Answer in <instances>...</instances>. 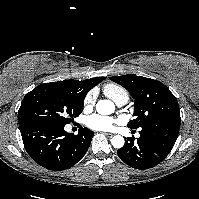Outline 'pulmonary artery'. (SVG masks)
Listing matches in <instances>:
<instances>
[{
  "instance_id": "pulmonary-artery-1",
  "label": "pulmonary artery",
  "mask_w": 199,
  "mask_h": 199,
  "mask_svg": "<svg viewBox=\"0 0 199 199\" xmlns=\"http://www.w3.org/2000/svg\"><path fill=\"white\" fill-rule=\"evenodd\" d=\"M127 100H128V98H126V97H119V98L115 99L114 101L116 102V104L118 106H123L124 104L127 103Z\"/></svg>"
}]
</instances>
